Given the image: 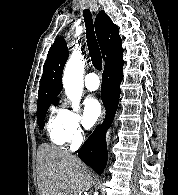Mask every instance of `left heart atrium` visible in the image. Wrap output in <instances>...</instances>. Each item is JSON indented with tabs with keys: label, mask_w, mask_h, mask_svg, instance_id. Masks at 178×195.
Segmentation results:
<instances>
[{
	"label": "left heart atrium",
	"mask_w": 178,
	"mask_h": 195,
	"mask_svg": "<svg viewBox=\"0 0 178 195\" xmlns=\"http://www.w3.org/2000/svg\"><path fill=\"white\" fill-rule=\"evenodd\" d=\"M102 113L100 101L95 96H89L84 101L83 124L89 129L99 119Z\"/></svg>",
	"instance_id": "39dd6f15"
}]
</instances>
